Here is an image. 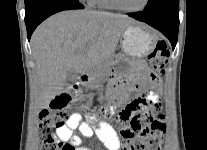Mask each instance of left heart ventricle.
Here are the masks:
<instances>
[{
    "label": "left heart ventricle",
    "instance_id": "left-heart-ventricle-1",
    "mask_svg": "<svg viewBox=\"0 0 207 150\" xmlns=\"http://www.w3.org/2000/svg\"><path fill=\"white\" fill-rule=\"evenodd\" d=\"M121 5L127 9H137L141 7L144 0H119Z\"/></svg>",
    "mask_w": 207,
    "mask_h": 150
}]
</instances>
